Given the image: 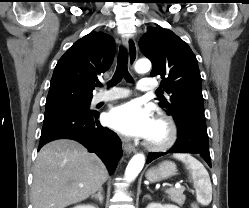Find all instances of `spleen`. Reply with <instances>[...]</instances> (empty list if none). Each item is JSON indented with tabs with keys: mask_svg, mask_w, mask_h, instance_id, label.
<instances>
[{
	"mask_svg": "<svg viewBox=\"0 0 249 208\" xmlns=\"http://www.w3.org/2000/svg\"><path fill=\"white\" fill-rule=\"evenodd\" d=\"M173 157L182 161L187 166L196 191L198 203L209 205L212 201V185L209 174L203 164L186 153H177Z\"/></svg>",
	"mask_w": 249,
	"mask_h": 208,
	"instance_id": "spleen-1",
	"label": "spleen"
}]
</instances>
